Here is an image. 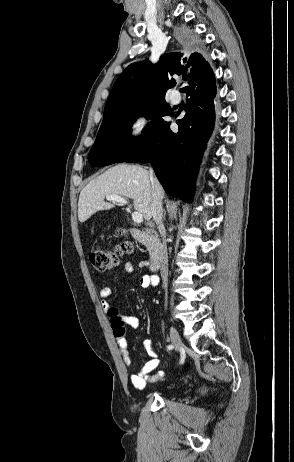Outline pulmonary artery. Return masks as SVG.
I'll return each instance as SVG.
<instances>
[{"label": "pulmonary artery", "instance_id": "obj_1", "mask_svg": "<svg viewBox=\"0 0 294 462\" xmlns=\"http://www.w3.org/2000/svg\"><path fill=\"white\" fill-rule=\"evenodd\" d=\"M180 100V94L177 91H172L170 94V101L172 103H178Z\"/></svg>", "mask_w": 294, "mask_h": 462}]
</instances>
